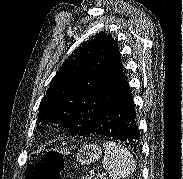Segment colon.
Masks as SVG:
<instances>
[{
	"label": "colon",
	"instance_id": "colon-1",
	"mask_svg": "<svg viewBox=\"0 0 183 179\" xmlns=\"http://www.w3.org/2000/svg\"><path fill=\"white\" fill-rule=\"evenodd\" d=\"M66 150L50 148L41 159L30 165L26 171V179H60L65 168Z\"/></svg>",
	"mask_w": 183,
	"mask_h": 179
}]
</instances>
